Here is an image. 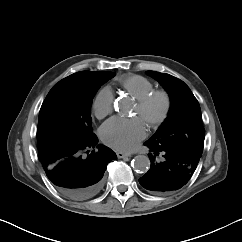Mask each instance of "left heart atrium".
Wrapping results in <instances>:
<instances>
[{
    "label": "left heart atrium",
    "mask_w": 242,
    "mask_h": 242,
    "mask_svg": "<svg viewBox=\"0 0 242 242\" xmlns=\"http://www.w3.org/2000/svg\"><path fill=\"white\" fill-rule=\"evenodd\" d=\"M100 131L105 143L121 152L134 150L145 137V125L139 118L112 117Z\"/></svg>",
    "instance_id": "left-heart-atrium-1"
}]
</instances>
